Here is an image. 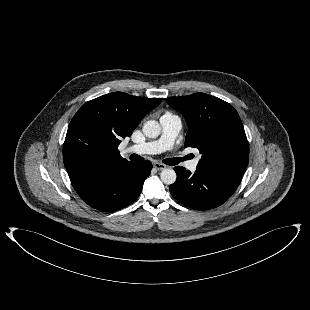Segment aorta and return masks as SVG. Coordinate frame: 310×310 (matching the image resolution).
<instances>
[{"instance_id":"762f6f07","label":"aorta","mask_w":310,"mask_h":310,"mask_svg":"<svg viewBox=\"0 0 310 310\" xmlns=\"http://www.w3.org/2000/svg\"><path fill=\"white\" fill-rule=\"evenodd\" d=\"M142 131L146 137L156 138L160 135L161 126L155 120H149L144 123ZM176 172L171 168L162 170L160 178L164 184L171 185L176 181Z\"/></svg>"}]
</instances>
